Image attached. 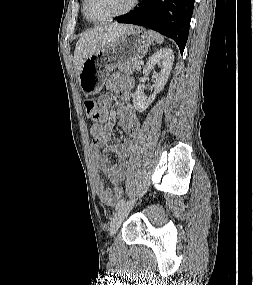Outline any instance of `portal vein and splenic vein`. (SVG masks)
<instances>
[{"label": "portal vein and splenic vein", "mask_w": 253, "mask_h": 285, "mask_svg": "<svg viewBox=\"0 0 253 285\" xmlns=\"http://www.w3.org/2000/svg\"><path fill=\"white\" fill-rule=\"evenodd\" d=\"M136 69H137V70H140V69H141V65L138 64V65L136 66Z\"/></svg>", "instance_id": "obj_1"}]
</instances>
